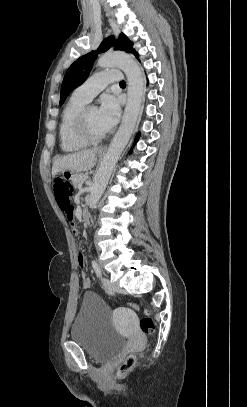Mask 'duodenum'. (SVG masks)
Masks as SVG:
<instances>
[{
  "label": "duodenum",
  "mask_w": 247,
  "mask_h": 407,
  "mask_svg": "<svg viewBox=\"0 0 247 407\" xmlns=\"http://www.w3.org/2000/svg\"><path fill=\"white\" fill-rule=\"evenodd\" d=\"M81 215H82L83 219L85 220V222H87L88 224L91 222V217H90L89 211L87 209H82Z\"/></svg>",
  "instance_id": "obj_1"
}]
</instances>
